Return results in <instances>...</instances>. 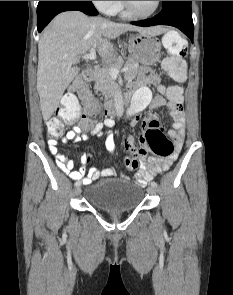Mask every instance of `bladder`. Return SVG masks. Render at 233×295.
Segmentation results:
<instances>
[{
    "label": "bladder",
    "instance_id": "1",
    "mask_svg": "<svg viewBox=\"0 0 233 295\" xmlns=\"http://www.w3.org/2000/svg\"><path fill=\"white\" fill-rule=\"evenodd\" d=\"M143 189L123 179H102L90 184L86 198L98 208L111 213L135 209L143 199Z\"/></svg>",
    "mask_w": 233,
    "mask_h": 295
}]
</instances>
